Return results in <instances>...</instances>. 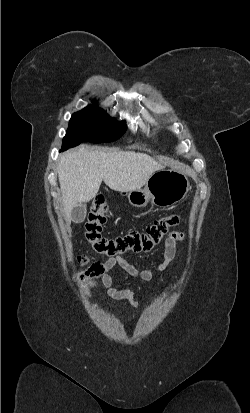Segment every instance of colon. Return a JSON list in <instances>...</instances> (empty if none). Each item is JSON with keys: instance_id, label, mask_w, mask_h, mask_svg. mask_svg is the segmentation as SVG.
<instances>
[{"instance_id": "5ec220e1", "label": "colon", "mask_w": 250, "mask_h": 413, "mask_svg": "<svg viewBox=\"0 0 250 413\" xmlns=\"http://www.w3.org/2000/svg\"><path fill=\"white\" fill-rule=\"evenodd\" d=\"M108 206L103 197L93 200L85 226V236L93 250L102 255L116 256L125 252H147L153 249L166 236L170 229L180 222L177 214H172L156 220L143 231H131L114 239L102 236L103 225L106 221ZM103 273V266L92 264L84 273L81 281L86 290H90L94 279Z\"/></svg>"}]
</instances>
